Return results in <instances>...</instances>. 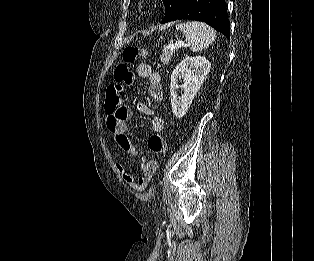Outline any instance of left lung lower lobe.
<instances>
[{
  "instance_id": "left-lung-lower-lobe-1",
  "label": "left lung lower lobe",
  "mask_w": 314,
  "mask_h": 261,
  "mask_svg": "<svg viewBox=\"0 0 314 261\" xmlns=\"http://www.w3.org/2000/svg\"><path fill=\"white\" fill-rule=\"evenodd\" d=\"M180 19L205 22L230 38L225 0H184L170 21Z\"/></svg>"
}]
</instances>
